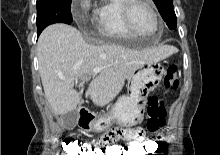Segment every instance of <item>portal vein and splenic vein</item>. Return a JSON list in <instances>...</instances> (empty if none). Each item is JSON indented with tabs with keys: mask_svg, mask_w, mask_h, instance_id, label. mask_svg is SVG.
Returning a JSON list of instances; mask_svg holds the SVG:
<instances>
[{
	"mask_svg": "<svg viewBox=\"0 0 220 155\" xmlns=\"http://www.w3.org/2000/svg\"><path fill=\"white\" fill-rule=\"evenodd\" d=\"M101 70H102L101 67H95V68H93V70L91 71L90 74H91V75H96V74L100 73ZM76 83H77V81H76Z\"/></svg>",
	"mask_w": 220,
	"mask_h": 155,
	"instance_id": "1",
	"label": "portal vein and splenic vein"
}]
</instances>
